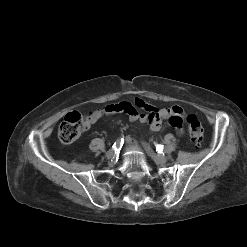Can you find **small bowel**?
Instances as JSON below:
<instances>
[{"label":"small bowel","instance_id":"small-bowel-1","mask_svg":"<svg viewBox=\"0 0 247 247\" xmlns=\"http://www.w3.org/2000/svg\"><path fill=\"white\" fill-rule=\"evenodd\" d=\"M138 108L144 109L147 113H140ZM125 113L131 121H139L150 125L152 131H160L163 127V122L168 120L175 128L178 134L183 133V120L185 118L184 110L179 106L170 108L155 109L150 104L142 99H135L134 102L122 101L114 104L106 105L100 109L90 112L85 117L86 128L96 123L105 116ZM129 144H133L134 140L131 137L127 138Z\"/></svg>","mask_w":247,"mask_h":247}]
</instances>
